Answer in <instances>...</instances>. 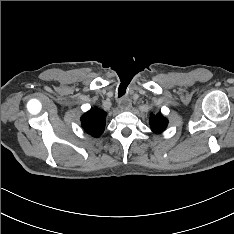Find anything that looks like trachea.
<instances>
[{
  "mask_svg": "<svg viewBox=\"0 0 234 234\" xmlns=\"http://www.w3.org/2000/svg\"><path fill=\"white\" fill-rule=\"evenodd\" d=\"M126 88L123 85H120L118 90V97H122L125 94Z\"/></svg>",
  "mask_w": 234,
  "mask_h": 234,
  "instance_id": "3493384b",
  "label": "trachea"
}]
</instances>
